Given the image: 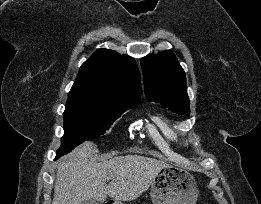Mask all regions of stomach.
Returning <instances> with one entry per match:
<instances>
[{
    "instance_id": "0dacf381",
    "label": "stomach",
    "mask_w": 261,
    "mask_h": 204,
    "mask_svg": "<svg viewBox=\"0 0 261 204\" xmlns=\"http://www.w3.org/2000/svg\"><path fill=\"white\" fill-rule=\"evenodd\" d=\"M198 193L193 175L173 166L160 169L150 189L153 204H196Z\"/></svg>"
}]
</instances>
